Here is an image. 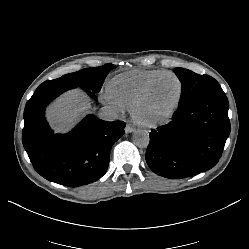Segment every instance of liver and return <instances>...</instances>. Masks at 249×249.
<instances>
[{
	"label": "liver",
	"instance_id": "liver-1",
	"mask_svg": "<svg viewBox=\"0 0 249 249\" xmlns=\"http://www.w3.org/2000/svg\"><path fill=\"white\" fill-rule=\"evenodd\" d=\"M89 109L90 103L80 92H71L49 108V119L57 130H63L69 128Z\"/></svg>",
	"mask_w": 249,
	"mask_h": 249
}]
</instances>
